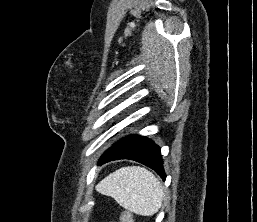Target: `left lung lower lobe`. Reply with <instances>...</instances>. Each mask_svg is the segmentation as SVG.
Segmentation results:
<instances>
[{
    "label": "left lung lower lobe",
    "mask_w": 257,
    "mask_h": 222,
    "mask_svg": "<svg viewBox=\"0 0 257 222\" xmlns=\"http://www.w3.org/2000/svg\"><path fill=\"white\" fill-rule=\"evenodd\" d=\"M118 159L140 162L153 169L163 180L166 179L160 148L143 136L130 135L114 143L100 157L98 165Z\"/></svg>",
    "instance_id": "obj_1"
}]
</instances>
